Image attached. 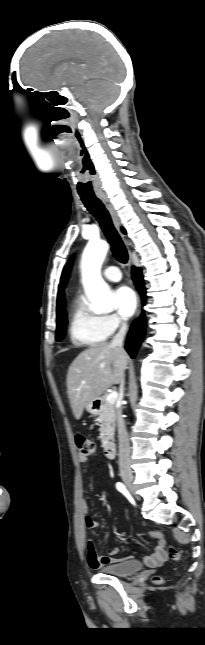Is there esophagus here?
Here are the masks:
<instances>
[{
  "label": "esophagus",
  "mask_w": 205,
  "mask_h": 645,
  "mask_svg": "<svg viewBox=\"0 0 205 645\" xmlns=\"http://www.w3.org/2000/svg\"><path fill=\"white\" fill-rule=\"evenodd\" d=\"M98 198L105 205L106 209L108 210V212H109V214L111 216V219H112V222H113L115 228L120 233L123 242L129 248V240H128L127 236L125 234H123L122 231H121L120 219H119L118 214H117L116 210L114 209V206L112 205L110 199L108 198V196L106 194H99ZM129 265L130 266L132 265V260L131 259L129 261ZM140 314H141V300H140L139 294H137V309H136L135 318L138 319Z\"/></svg>",
  "instance_id": "34e87169"
}]
</instances>
